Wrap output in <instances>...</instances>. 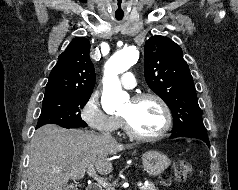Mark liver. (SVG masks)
<instances>
[{
	"instance_id": "1",
	"label": "liver",
	"mask_w": 238,
	"mask_h": 190,
	"mask_svg": "<svg viewBox=\"0 0 238 190\" xmlns=\"http://www.w3.org/2000/svg\"><path fill=\"white\" fill-rule=\"evenodd\" d=\"M125 148L92 132L44 125L30 143L28 190H69L68 181L82 179L88 169L109 174V156Z\"/></svg>"
}]
</instances>
